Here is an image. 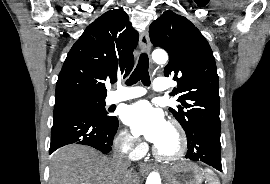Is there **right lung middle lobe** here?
<instances>
[{"mask_svg": "<svg viewBox=\"0 0 270 184\" xmlns=\"http://www.w3.org/2000/svg\"><path fill=\"white\" fill-rule=\"evenodd\" d=\"M65 107L81 108L105 123L115 119L114 116H109L105 109V97L66 95L56 98L54 109Z\"/></svg>", "mask_w": 270, "mask_h": 184, "instance_id": "right-lung-middle-lobe-1", "label": "right lung middle lobe"}]
</instances>
